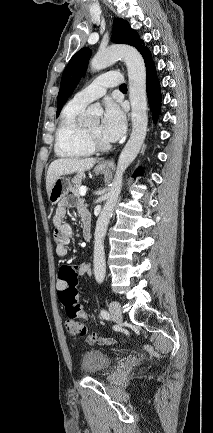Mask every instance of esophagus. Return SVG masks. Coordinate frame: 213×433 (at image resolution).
<instances>
[{"instance_id": "esophagus-1", "label": "esophagus", "mask_w": 213, "mask_h": 433, "mask_svg": "<svg viewBox=\"0 0 213 433\" xmlns=\"http://www.w3.org/2000/svg\"><path fill=\"white\" fill-rule=\"evenodd\" d=\"M113 164H114L113 159H108L101 163V165L104 167H112Z\"/></svg>"}]
</instances>
